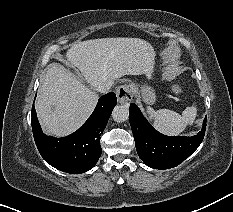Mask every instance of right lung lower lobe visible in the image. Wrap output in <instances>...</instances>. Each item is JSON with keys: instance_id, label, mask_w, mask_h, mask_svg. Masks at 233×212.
Masks as SVG:
<instances>
[{"instance_id": "98d812e1", "label": "right lung lower lobe", "mask_w": 233, "mask_h": 212, "mask_svg": "<svg viewBox=\"0 0 233 212\" xmlns=\"http://www.w3.org/2000/svg\"><path fill=\"white\" fill-rule=\"evenodd\" d=\"M116 103L114 93L103 95L88 120L77 131L63 138L46 136L41 131L33 104V136L43 159L54 168L71 174L84 173L93 168L102 153L100 135Z\"/></svg>"}]
</instances>
